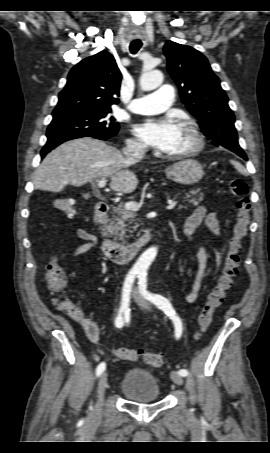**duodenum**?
Returning <instances> with one entry per match:
<instances>
[{
    "mask_svg": "<svg viewBox=\"0 0 270 453\" xmlns=\"http://www.w3.org/2000/svg\"><path fill=\"white\" fill-rule=\"evenodd\" d=\"M109 212V206L105 203H98L95 209V216L99 222L106 219ZM152 234L145 235L141 239L130 243L120 244L110 239H103L101 250L103 254L112 262L126 263L131 261L140 249L145 246L152 238Z\"/></svg>",
    "mask_w": 270,
    "mask_h": 453,
    "instance_id": "410a0bca",
    "label": "duodenum"
}]
</instances>
